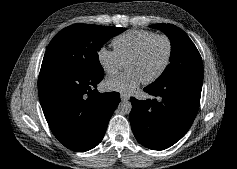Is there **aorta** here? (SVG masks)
I'll return each instance as SVG.
<instances>
[{
	"label": "aorta",
	"mask_w": 237,
	"mask_h": 169,
	"mask_svg": "<svg viewBox=\"0 0 237 169\" xmlns=\"http://www.w3.org/2000/svg\"><path fill=\"white\" fill-rule=\"evenodd\" d=\"M131 110L132 104L129 100H122L117 107V111L122 115L130 114Z\"/></svg>",
	"instance_id": "aorta-1"
}]
</instances>
